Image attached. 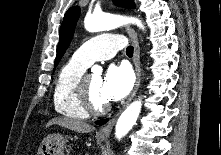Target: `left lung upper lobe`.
I'll return each instance as SVG.
<instances>
[{
  "instance_id": "1",
  "label": "left lung upper lobe",
  "mask_w": 221,
  "mask_h": 155,
  "mask_svg": "<svg viewBox=\"0 0 221 155\" xmlns=\"http://www.w3.org/2000/svg\"><path fill=\"white\" fill-rule=\"evenodd\" d=\"M116 5L125 8H135L133 0H114ZM80 15V8L74 6L70 8L64 16L63 22L60 28V40L57 47V55L55 60V66L58 65L60 59L64 55L65 50L68 48L74 34L75 26Z\"/></svg>"
}]
</instances>
